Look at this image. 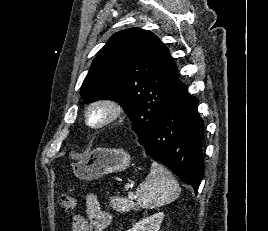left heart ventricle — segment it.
I'll return each instance as SVG.
<instances>
[{"label": "left heart ventricle", "instance_id": "left-heart-ventricle-1", "mask_svg": "<svg viewBox=\"0 0 268 231\" xmlns=\"http://www.w3.org/2000/svg\"><path fill=\"white\" fill-rule=\"evenodd\" d=\"M104 116V112L102 110H94L92 111L91 115H90V120L92 122H97L99 121L102 117Z\"/></svg>", "mask_w": 268, "mask_h": 231}]
</instances>
